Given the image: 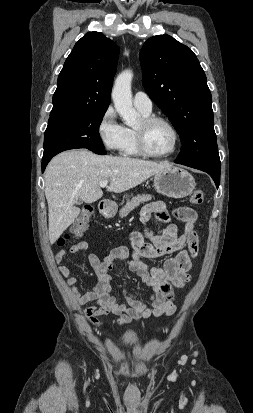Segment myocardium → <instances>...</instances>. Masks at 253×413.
<instances>
[{
  "instance_id": "1",
  "label": "myocardium",
  "mask_w": 253,
  "mask_h": 413,
  "mask_svg": "<svg viewBox=\"0 0 253 413\" xmlns=\"http://www.w3.org/2000/svg\"><path fill=\"white\" fill-rule=\"evenodd\" d=\"M156 122H161V123L166 124L170 128L173 134V145L171 149L165 153H154L150 151L147 146L146 130L150 125ZM135 135H136V143H137L138 151L140 152L141 155L149 157V158H165V157L172 155L177 150L179 146V142H180L179 132L177 128L175 127V125L172 123V121H170L166 117L158 116V115H148V116L143 117L140 121V125L135 127Z\"/></svg>"
}]
</instances>
